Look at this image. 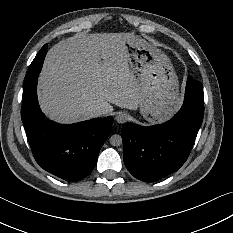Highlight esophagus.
I'll return each instance as SVG.
<instances>
[{"label":"esophagus","instance_id":"obj_1","mask_svg":"<svg viewBox=\"0 0 233 233\" xmlns=\"http://www.w3.org/2000/svg\"><path fill=\"white\" fill-rule=\"evenodd\" d=\"M128 119V115L126 113H119L116 117H115V120L122 124L124 122H126Z\"/></svg>","mask_w":233,"mask_h":233}]
</instances>
